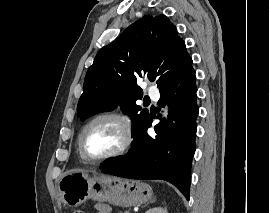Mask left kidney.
<instances>
[{"mask_svg":"<svg viewBox=\"0 0 270 213\" xmlns=\"http://www.w3.org/2000/svg\"><path fill=\"white\" fill-rule=\"evenodd\" d=\"M145 213H168L166 208H162V207H155V208H151L149 209L147 212Z\"/></svg>","mask_w":270,"mask_h":213,"instance_id":"5707ae66","label":"left kidney"}]
</instances>
